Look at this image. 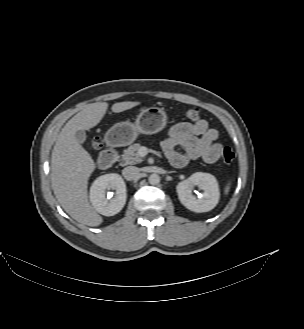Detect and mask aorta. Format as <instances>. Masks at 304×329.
Listing matches in <instances>:
<instances>
[{
	"instance_id": "762f6f07",
	"label": "aorta",
	"mask_w": 304,
	"mask_h": 329,
	"mask_svg": "<svg viewBox=\"0 0 304 329\" xmlns=\"http://www.w3.org/2000/svg\"><path fill=\"white\" fill-rule=\"evenodd\" d=\"M148 181L151 185H157L160 182V176L158 174H151L148 177Z\"/></svg>"
}]
</instances>
